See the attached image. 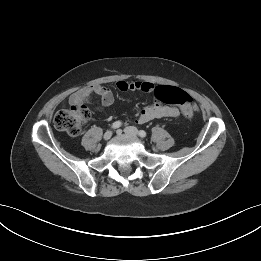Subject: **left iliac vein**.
I'll return each mask as SVG.
<instances>
[{
  "label": "left iliac vein",
  "mask_w": 261,
  "mask_h": 261,
  "mask_svg": "<svg viewBox=\"0 0 261 261\" xmlns=\"http://www.w3.org/2000/svg\"><path fill=\"white\" fill-rule=\"evenodd\" d=\"M124 132L127 134V135H131V136H134V137H137L139 135V132L137 130L136 127H133V126H128L124 129Z\"/></svg>",
  "instance_id": "4c4485c4"
}]
</instances>
